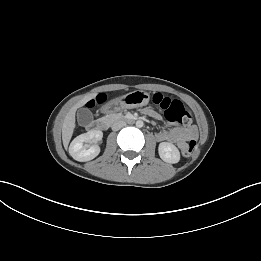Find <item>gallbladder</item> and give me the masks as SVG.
<instances>
[{"label":"gallbladder","mask_w":261,"mask_h":261,"mask_svg":"<svg viewBox=\"0 0 261 261\" xmlns=\"http://www.w3.org/2000/svg\"><path fill=\"white\" fill-rule=\"evenodd\" d=\"M77 116H78L79 123L82 126L89 125L93 120V115H92L91 111L86 108H81L78 111Z\"/></svg>","instance_id":"obj_1"}]
</instances>
